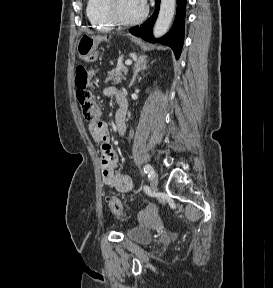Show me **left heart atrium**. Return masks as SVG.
Segmentation results:
<instances>
[{"instance_id":"39dd6f15","label":"left heart atrium","mask_w":273,"mask_h":288,"mask_svg":"<svg viewBox=\"0 0 273 288\" xmlns=\"http://www.w3.org/2000/svg\"><path fill=\"white\" fill-rule=\"evenodd\" d=\"M140 1H141L142 4H145V1H146V0H140Z\"/></svg>"}]
</instances>
